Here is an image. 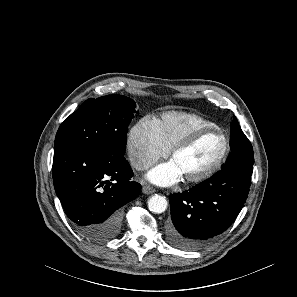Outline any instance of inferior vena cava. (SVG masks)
I'll return each instance as SVG.
<instances>
[{
  "label": "inferior vena cava",
  "instance_id": "602c4592",
  "mask_svg": "<svg viewBox=\"0 0 297 297\" xmlns=\"http://www.w3.org/2000/svg\"><path fill=\"white\" fill-rule=\"evenodd\" d=\"M132 165L136 170H146L152 166V163L146 160H138Z\"/></svg>",
  "mask_w": 297,
  "mask_h": 297
}]
</instances>
